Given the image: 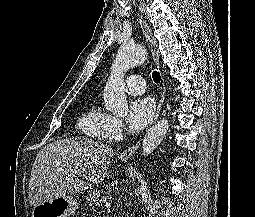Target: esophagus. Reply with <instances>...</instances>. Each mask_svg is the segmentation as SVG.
Wrapping results in <instances>:
<instances>
[{"label": "esophagus", "mask_w": 255, "mask_h": 217, "mask_svg": "<svg viewBox=\"0 0 255 217\" xmlns=\"http://www.w3.org/2000/svg\"><path fill=\"white\" fill-rule=\"evenodd\" d=\"M141 27H142V31H143V34L145 36V39L148 43L149 49L151 51V55L153 57V60L156 64V66L158 68H160V53H159L157 42H156V40H155V38H154V36H153V34H152V32H151V30H150V28H149V26L147 25L146 22H143ZM162 85H163V87H162L161 98H160V101H159V104H158V107H157L156 114L154 115V118L152 119L151 124L154 123L156 121V119L158 118V116L161 112V109H162V105H163L164 100H165L166 87H165L164 79H163ZM140 144H141V141H138L132 147H129L128 149L121 152L119 154L120 158L121 159H128V158L132 157L136 153V151L139 148Z\"/></svg>", "instance_id": "obj_1"}]
</instances>
